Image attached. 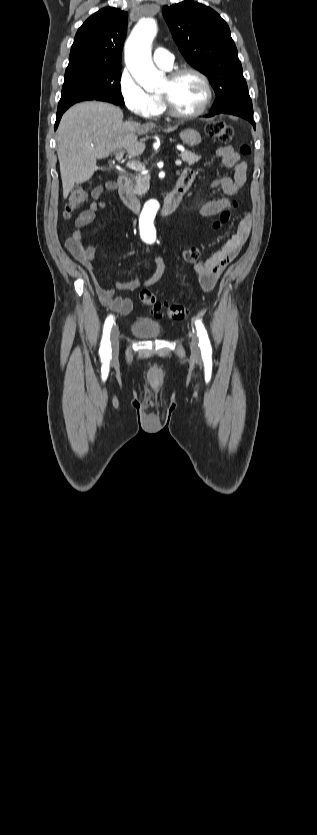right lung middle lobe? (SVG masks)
Listing matches in <instances>:
<instances>
[{"mask_svg":"<svg viewBox=\"0 0 317 835\" xmlns=\"http://www.w3.org/2000/svg\"><path fill=\"white\" fill-rule=\"evenodd\" d=\"M121 66L80 64L68 66L58 109L84 100L112 98L121 104Z\"/></svg>","mask_w":317,"mask_h":835,"instance_id":"obj_1","label":"right lung middle lobe"}]
</instances>
